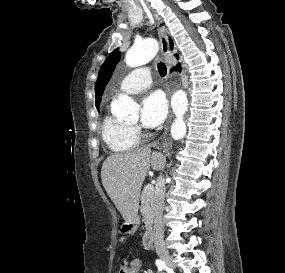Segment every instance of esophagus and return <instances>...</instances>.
Returning a JSON list of instances; mask_svg holds the SVG:
<instances>
[{"label":"esophagus","instance_id":"esophagus-1","mask_svg":"<svg viewBox=\"0 0 285 273\" xmlns=\"http://www.w3.org/2000/svg\"><path fill=\"white\" fill-rule=\"evenodd\" d=\"M157 30H158L159 40H160L161 54L163 57H167L170 54V49H169V40H168L166 29L160 26V23H157ZM170 118H171V115H170Z\"/></svg>","mask_w":285,"mask_h":273}]
</instances>
